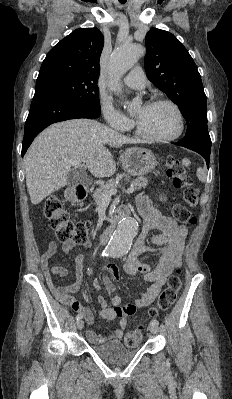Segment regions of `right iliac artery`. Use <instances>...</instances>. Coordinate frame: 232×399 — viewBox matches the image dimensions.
Masks as SVG:
<instances>
[{"label":"right iliac artery","mask_w":232,"mask_h":399,"mask_svg":"<svg viewBox=\"0 0 232 399\" xmlns=\"http://www.w3.org/2000/svg\"><path fill=\"white\" fill-rule=\"evenodd\" d=\"M82 318H83V316H82L81 314H77V315H76V320H77V321H81Z\"/></svg>","instance_id":"right-iliac-artery-1"}]
</instances>
